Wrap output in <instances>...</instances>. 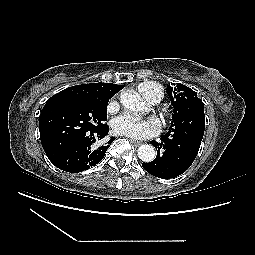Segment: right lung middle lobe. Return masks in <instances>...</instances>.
Masks as SVG:
<instances>
[{
    "label": "right lung middle lobe",
    "instance_id": "obj_1",
    "mask_svg": "<svg viewBox=\"0 0 255 255\" xmlns=\"http://www.w3.org/2000/svg\"><path fill=\"white\" fill-rule=\"evenodd\" d=\"M108 102L109 98H50L40 114V138L60 148L101 127L107 120Z\"/></svg>",
    "mask_w": 255,
    "mask_h": 255
}]
</instances>
